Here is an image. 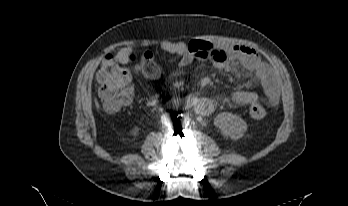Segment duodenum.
<instances>
[{"label": "duodenum", "mask_w": 348, "mask_h": 206, "mask_svg": "<svg viewBox=\"0 0 348 206\" xmlns=\"http://www.w3.org/2000/svg\"><path fill=\"white\" fill-rule=\"evenodd\" d=\"M178 104L180 105V107L192 108L198 113L202 114H206L211 110V103L208 100L198 97L196 95L188 96L182 101H180Z\"/></svg>", "instance_id": "410a0bca"}]
</instances>
